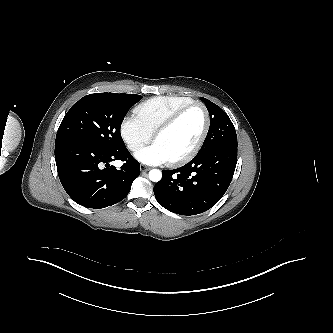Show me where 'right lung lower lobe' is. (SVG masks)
<instances>
[{
    "label": "right lung lower lobe",
    "instance_id": "98d812e1",
    "mask_svg": "<svg viewBox=\"0 0 333 333\" xmlns=\"http://www.w3.org/2000/svg\"><path fill=\"white\" fill-rule=\"evenodd\" d=\"M55 160L65 191L76 203L87 208L100 209L120 202L140 174V164L126 147L107 151L59 141L55 142ZM115 160L125 162L120 170L110 166Z\"/></svg>",
    "mask_w": 333,
    "mask_h": 333
}]
</instances>
